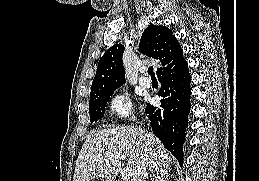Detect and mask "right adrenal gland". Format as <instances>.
Listing matches in <instances>:
<instances>
[{
	"instance_id": "1",
	"label": "right adrenal gland",
	"mask_w": 259,
	"mask_h": 181,
	"mask_svg": "<svg viewBox=\"0 0 259 181\" xmlns=\"http://www.w3.org/2000/svg\"><path fill=\"white\" fill-rule=\"evenodd\" d=\"M166 172H156L152 175L151 181H166L167 176L165 177Z\"/></svg>"
}]
</instances>
